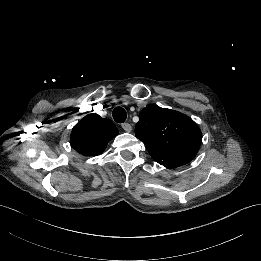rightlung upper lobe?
Wrapping results in <instances>:
<instances>
[{"label": "right lung upper lobe", "mask_w": 261, "mask_h": 261, "mask_svg": "<svg viewBox=\"0 0 261 261\" xmlns=\"http://www.w3.org/2000/svg\"><path fill=\"white\" fill-rule=\"evenodd\" d=\"M118 133L117 127L110 120L97 114H88L72 129L70 144L84 156L99 155Z\"/></svg>", "instance_id": "right-lung-upper-lobe-1"}]
</instances>
